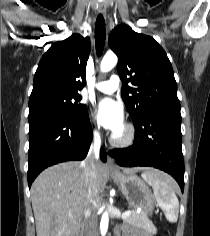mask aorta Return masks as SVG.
Segmentation results:
<instances>
[{"label": "aorta", "instance_id": "1", "mask_svg": "<svg viewBox=\"0 0 210 236\" xmlns=\"http://www.w3.org/2000/svg\"><path fill=\"white\" fill-rule=\"evenodd\" d=\"M118 62V58L114 53H107L101 61L100 70L106 73L113 69ZM109 215L108 212H104L101 218L100 228L101 233L105 234L108 229Z\"/></svg>", "mask_w": 210, "mask_h": 236}]
</instances>
